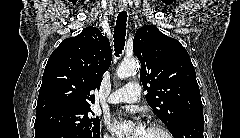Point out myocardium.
I'll return each mask as SVG.
<instances>
[{
  "label": "myocardium",
  "instance_id": "obj_1",
  "mask_svg": "<svg viewBox=\"0 0 240 138\" xmlns=\"http://www.w3.org/2000/svg\"><path fill=\"white\" fill-rule=\"evenodd\" d=\"M148 129L162 133L164 138H172L170 131L159 124H150Z\"/></svg>",
  "mask_w": 240,
  "mask_h": 138
}]
</instances>
